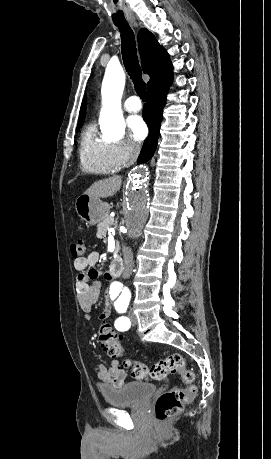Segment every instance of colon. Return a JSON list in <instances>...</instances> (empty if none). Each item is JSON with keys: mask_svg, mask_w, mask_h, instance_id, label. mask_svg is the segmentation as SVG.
<instances>
[{"mask_svg": "<svg viewBox=\"0 0 271 459\" xmlns=\"http://www.w3.org/2000/svg\"><path fill=\"white\" fill-rule=\"evenodd\" d=\"M74 258H82L86 255V244L79 239L70 247ZM98 337L101 345L112 358L124 357V350L120 345L116 331L108 324L102 323ZM123 368L130 369L131 375L137 380H162L169 374H177L181 377L184 386L172 388L160 394L155 401V416L158 422H166L175 417L183 408V405L192 400L196 393L193 385L194 373L186 367L185 360L180 354H171L158 361L151 367L142 362L124 359Z\"/></svg>", "mask_w": 271, "mask_h": 459, "instance_id": "obj_1", "label": "colon"}]
</instances>
